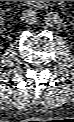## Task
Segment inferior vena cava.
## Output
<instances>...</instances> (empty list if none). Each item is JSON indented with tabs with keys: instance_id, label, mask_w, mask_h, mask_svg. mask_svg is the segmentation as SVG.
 <instances>
[{
	"instance_id": "602c4592",
	"label": "inferior vena cava",
	"mask_w": 74,
	"mask_h": 122,
	"mask_svg": "<svg viewBox=\"0 0 74 122\" xmlns=\"http://www.w3.org/2000/svg\"><path fill=\"white\" fill-rule=\"evenodd\" d=\"M22 20L27 24H34L36 22V12L31 10H25L21 16Z\"/></svg>"
}]
</instances>
